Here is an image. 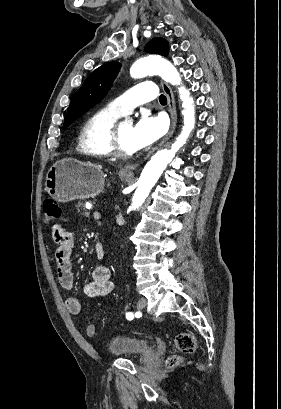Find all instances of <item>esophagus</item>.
I'll return each mask as SVG.
<instances>
[{
    "instance_id": "obj_1",
    "label": "esophagus",
    "mask_w": 281,
    "mask_h": 409,
    "mask_svg": "<svg viewBox=\"0 0 281 409\" xmlns=\"http://www.w3.org/2000/svg\"><path fill=\"white\" fill-rule=\"evenodd\" d=\"M162 88L167 96V100H168V109H169V113H170V118H171V125H170V129L168 131V134L165 136V138L160 142V144H158L157 147H155L153 150H151L145 157L148 158L149 155H151V153L156 150L157 148H159L161 145H163L174 133V130L176 128V123H177V112H176V104H175V100H174V94L172 89L170 88V86L165 83V82H161ZM139 166V164H130V165H126L125 167H123L122 172H126L128 174H132L133 171Z\"/></svg>"
}]
</instances>
